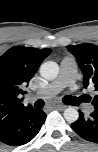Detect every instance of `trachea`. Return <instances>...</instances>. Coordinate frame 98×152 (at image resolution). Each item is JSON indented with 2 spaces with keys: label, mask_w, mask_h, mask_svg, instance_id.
<instances>
[{
  "label": "trachea",
  "mask_w": 98,
  "mask_h": 152,
  "mask_svg": "<svg viewBox=\"0 0 98 152\" xmlns=\"http://www.w3.org/2000/svg\"><path fill=\"white\" fill-rule=\"evenodd\" d=\"M74 99L75 98H73V97H71V96H66V97H64L63 98V101H64V103H69V102H74ZM44 101L43 100H41V99H38L35 103H34V106H35V108H42L43 106H44Z\"/></svg>",
  "instance_id": "trachea-1"
}]
</instances>
